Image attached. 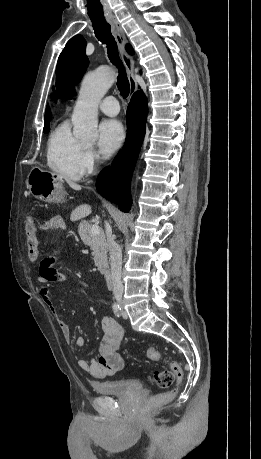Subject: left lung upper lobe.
Segmentation results:
<instances>
[{"label": "left lung upper lobe", "mask_w": 261, "mask_h": 459, "mask_svg": "<svg viewBox=\"0 0 261 459\" xmlns=\"http://www.w3.org/2000/svg\"><path fill=\"white\" fill-rule=\"evenodd\" d=\"M129 53L133 54L130 45L127 46ZM88 66V58L85 55V43L83 38L75 36L68 41L64 50L61 52L57 68L56 77L57 88L56 93H62L68 99H71L75 91V85L79 83L81 77ZM55 100L57 96H53Z\"/></svg>", "instance_id": "1"}]
</instances>
